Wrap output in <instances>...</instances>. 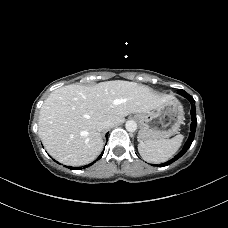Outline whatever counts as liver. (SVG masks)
<instances>
[{
	"label": "liver",
	"mask_w": 228,
	"mask_h": 228,
	"mask_svg": "<svg viewBox=\"0 0 228 228\" xmlns=\"http://www.w3.org/2000/svg\"><path fill=\"white\" fill-rule=\"evenodd\" d=\"M171 96L136 82L114 80L95 86L71 84L53 91L39 116V136L59 162L80 166L97 158L104 142L97 125L122 124L131 113L157 109Z\"/></svg>",
	"instance_id": "6515ba94"
}]
</instances>
